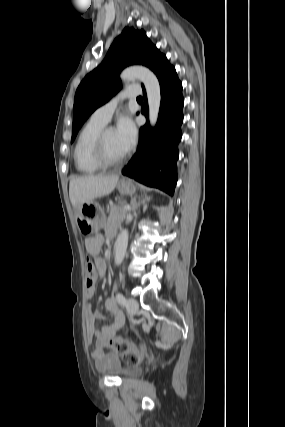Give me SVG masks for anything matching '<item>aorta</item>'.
Masks as SVG:
<instances>
[{
	"label": "aorta",
	"mask_w": 285,
	"mask_h": 427,
	"mask_svg": "<svg viewBox=\"0 0 285 427\" xmlns=\"http://www.w3.org/2000/svg\"><path fill=\"white\" fill-rule=\"evenodd\" d=\"M123 81H130L139 79L145 86L148 107H149V120L152 126H155L161 103L160 85L155 74L143 66H131L126 68L120 74ZM128 246V230L123 229L119 234L114 251V260L116 265H120L125 257Z\"/></svg>",
	"instance_id": "762f6f07"
}]
</instances>
